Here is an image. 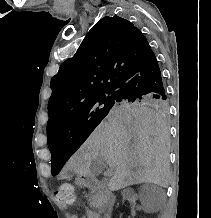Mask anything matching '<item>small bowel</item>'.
Instances as JSON below:
<instances>
[{
	"mask_svg": "<svg viewBox=\"0 0 211 218\" xmlns=\"http://www.w3.org/2000/svg\"><path fill=\"white\" fill-rule=\"evenodd\" d=\"M86 218H99L98 214L92 210L86 211Z\"/></svg>",
	"mask_w": 211,
	"mask_h": 218,
	"instance_id": "1",
	"label": "small bowel"
}]
</instances>
